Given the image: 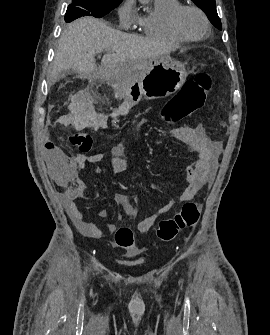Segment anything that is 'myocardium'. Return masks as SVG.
<instances>
[{
	"label": "myocardium",
	"mask_w": 270,
	"mask_h": 335,
	"mask_svg": "<svg viewBox=\"0 0 270 335\" xmlns=\"http://www.w3.org/2000/svg\"><path fill=\"white\" fill-rule=\"evenodd\" d=\"M186 10H193L195 12H197L203 19L204 24H205V34L201 37H191L189 36L182 28L181 26V16L182 14L186 11ZM170 25L171 28L173 29V31L178 34L179 36H181L182 38L186 39V40H191V41H199V40H203L205 38H207L210 33H211V25L210 22L206 16V14L199 9L198 7L192 6V5H183L177 9H175L171 16H170Z\"/></svg>",
	"instance_id": "f54148a6"
}]
</instances>
